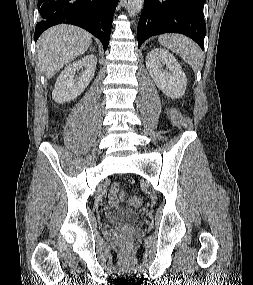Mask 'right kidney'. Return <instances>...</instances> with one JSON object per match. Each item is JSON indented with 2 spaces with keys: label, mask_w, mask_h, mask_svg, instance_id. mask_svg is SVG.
I'll list each match as a JSON object with an SVG mask.
<instances>
[{
  "label": "right kidney",
  "mask_w": 253,
  "mask_h": 285,
  "mask_svg": "<svg viewBox=\"0 0 253 285\" xmlns=\"http://www.w3.org/2000/svg\"><path fill=\"white\" fill-rule=\"evenodd\" d=\"M96 64L97 58L93 54L68 64L56 80L52 99L59 104H64L79 96L93 79ZM79 70H81L80 77L76 75Z\"/></svg>",
  "instance_id": "ca27d5eb"
}]
</instances>
